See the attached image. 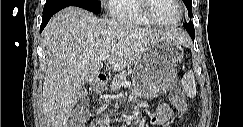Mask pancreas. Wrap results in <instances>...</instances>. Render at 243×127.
<instances>
[{
  "instance_id": "cf45deb5",
  "label": "pancreas",
  "mask_w": 243,
  "mask_h": 127,
  "mask_svg": "<svg viewBox=\"0 0 243 127\" xmlns=\"http://www.w3.org/2000/svg\"><path fill=\"white\" fill-rule=\"evenodd\" d=\"M129 75L128 72L123 71L120 74L116 75L110 85V91L111 92H116L118 91L121 87L127 86L126 83V77Z\"/></svg>"
}]
</instances>
